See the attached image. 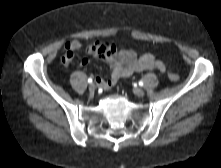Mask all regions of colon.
Returning a JSON list of instances; mask_svg holds the SVG:
<instances>
[{
  "label": "colon",
  "mask_w": 221,
  "mask_h": 168,
  "mask_svg": "<svg viewBox=\"0 0 221 168\" xmlns=\"http://www.w3.org/2000/svg\"><path fill=\"white\" fill-rule=\"evenodd\" d=\"M168 78L173 81V82H176L179 80V75L175 72H172V71H169L168 72Z\"/></svg>",
  "instance_id": "5ec220e1"
}]
</instances>
